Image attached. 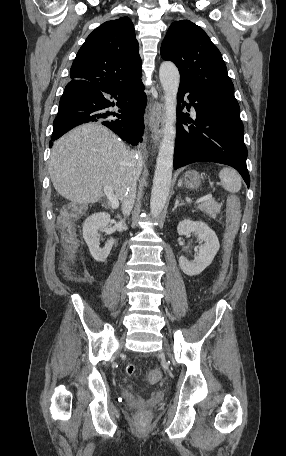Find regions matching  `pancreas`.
<instances>
[{"instance_id":"obj_1","label":"pancreas","mask_w":286,"mask_h":456,"mask_svg":"<svg viewBox=\"0 0 286 456\" xmlns=\"http://www.w3.org/2000/svg\"><path fill=\"white\" fill-rule=\"evenodd\" d=\"M221 204L217 203L214 199H210L198 205L197 209L205 212L210 217L215 218L220 213Z\"/></svg>"}]
</instances>
